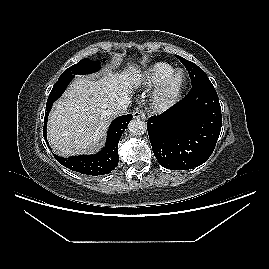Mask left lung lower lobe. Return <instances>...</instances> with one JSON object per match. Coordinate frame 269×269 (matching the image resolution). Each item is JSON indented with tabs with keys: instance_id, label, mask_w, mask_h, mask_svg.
Wrapping results in <instances>:
<instances>
[{
	"instance_id": "left-lung-lower-lobe-1",
	"label": "left lung lower lobe",
	"mask_w": 269,
	"mask_h": 269,
	"mask_svg": "<svg viewBox=\"0 0 269 269\" xmlns=\"http://www.w3.org/2000/svg\"><path fill=\"white\" fill-rule=\"evenodd\" d=\"M221 126L218 95L209 79L192 85L182 100L147 122L154 155L171 170L192 169L206 162Z\"/></svg>"
}]
</instances>
